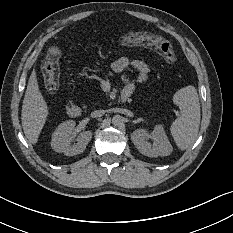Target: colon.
I'll list each match as a JSON object with an SVG mask.
<instances>
[{
	"label": "colon",
	"mask_w": 233,
	"mask_h": 233,
	"mask_svg": "<svg viewBox=\"0 0 233 233\" xmlns=\"http://www.w3.org/2000/svg\"><path fill=\"white\" fill-rule=\"evenodd\" d=\"M123 43L127 45H149L156 49L165 63L172 65L176 62V55L170 42L159 37H151L140 32H134L123 37ZM61 52L59 48L52 47L48 50L42 66L44 73V85L47 91L55 92L59 86V60Z\"/></svg>",
	"instance_id": "5ec220e1"
}]
</instances>
